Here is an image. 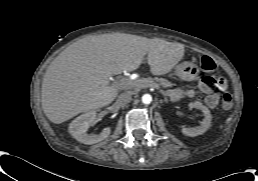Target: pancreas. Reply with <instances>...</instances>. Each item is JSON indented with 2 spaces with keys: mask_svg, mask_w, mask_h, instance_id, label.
<instances>
[{
  "mask_svg": "<svg viewBox=\"0 0 258 181\" xmlns=\"http://www.w3.org/2000/svg\"><path fill=\"white\" fill-rule=\"evenodd\" d=\"M134 82H143L142 87H148V86H153V87H159L162 86L164 88H170L173 87L174 84L169 82L167 79L164 78H141L137 79ZM130 89L137 90L138 88L135 85H132L129 87Z\"/></svg>",
  "mask_w": 258,
  "mask_h": 181,
  "instance_id": "1",
  "label": "pancreas"
}]
</instances>
